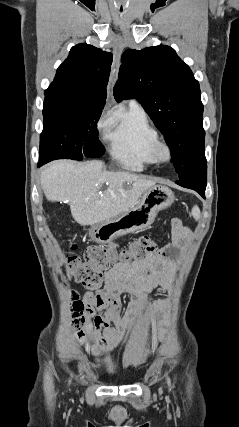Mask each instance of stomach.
<instances>
[{"label":"stomach","mask_w":239,"mask_h":427,"mask_svg":"<svg viewBox=\"0 0 239 427\" xmlns=\"http://www.w3.org/2000/svg\"><path fill=\"white\" fill-rule=\"evenodd\" d=\"M174 199L170 188L154 185L143 193L136 206L115 218L92 226L89 236L96 243L106 244L119 236L145 229L154 222L159 211L171 206Z\"/></svg>","instance_id":"stomach-1"}]
</instances>
